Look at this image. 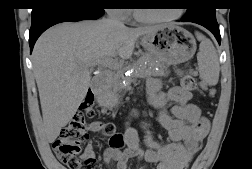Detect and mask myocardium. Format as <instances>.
Returning a JSON list of instances; mask_svg holds the SVG:
<instances>
[{
  "label": "myocardium",
  "mask_w": 252,
  "mask_h": 169,
  "mask_svg": "<svg viewBox=\"0 0 252 169\" xmlns=\"http://www.w3.org/2000/svg\"><path fill=\"white\" fill-rule=\"evenodd\" d=\"M181 10H177V12L162 16V17H155V18H148V17H143L138 13L137 9H133V16L134 18L141 22V23H146V24H152V23H162V22H168L172 20H176L181 17Z\"/></svg>",
  "instance_id": "obj_1"
}]
</instances>
